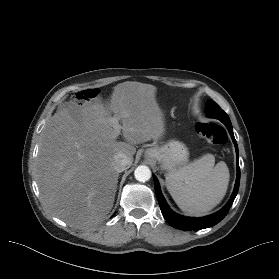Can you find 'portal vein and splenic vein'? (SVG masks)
<instances>
[{"label": "portal vein and splenic vein", "instance_id": "18ae733b", "mask_svg": "<svg viewBox=\"0 0 279 279\" xmlns=\"http://www.w3.org/2000/svg\"><path fill=\"white\" fill-rule=\"evenodd\" d=\"M112 124H113L115 134L119 135L122 127L119 124L118 120L116 118H113L112 119Z\"/></svg>", "mask_w": 279, "mask_h": 279}]
</instances>
